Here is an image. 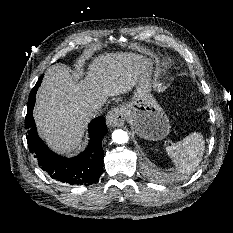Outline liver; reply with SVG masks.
Here are the masks:
<instances>
[{
    "label": "liver",
    "mask_w": 233,
    "mask_h": 233,
    "mask_svg": "<svg viewBox=\"0 0 233 233\" xmlns=\"http://www.w3.org/2000/svg\"><path fill=\"white\" fill-rule=\"evenodd\" d=\"M146 67L136 53H105L93 59L83 80L76 81L66 66L53 65L36 95L39 134L54 151L71 154L81 145L93 105L131 91Z\"/></svg>",
    "instance_id": "liver-1"
}]
</instances>
